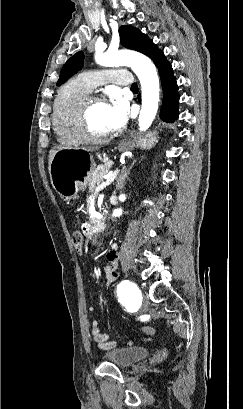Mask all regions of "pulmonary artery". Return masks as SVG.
<instances>
[{"label":"pulmonary artery","instance_id":"pulmonary-artery-1","mask_svg":"<svg viewBox=\"0 0 243 409\" xmlns=\"http://www.w3.org/2000/svg\"><path fill=\"white\" fill-rule=\"evenodd\" d=\"M80 78L91 90L106 83L121 86H131L133 84V79L126 70L88 71L82 73Z\"/></svg>","mask_w":243,"mask_h":409}]
</instances>
